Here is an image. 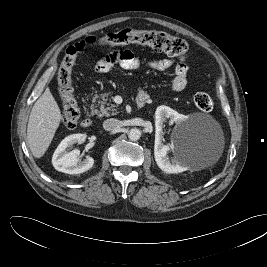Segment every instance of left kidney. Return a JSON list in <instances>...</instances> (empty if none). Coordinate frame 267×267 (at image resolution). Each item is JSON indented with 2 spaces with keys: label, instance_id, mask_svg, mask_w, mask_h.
Instances as JSON below:
<instances>
[{
  "label": "left kidney",
  "instance_id": "left-kidney-1",
  "mask_svg": "<svg viewBox=\"0 0 267 267\" xmlns=\"http://www.w3.org/2000/svg\"><path fill=\"white\" fill-rule=\"evenodd\" d=\"M166 118L170 119L171 123L181 124L187 120V116L179 114L177 111L171 109L168 106H159L155 111V128L157 138L155 139L154 157L158 167L167 174H178L188 170L189 167L183 165L174 159H170L167 156V152L170 149L169 146L163 145L158 136L163 133V123Z\"/></svg>",
  "mask_w": 267,
  "mask_h": 267
}]
</instances>
